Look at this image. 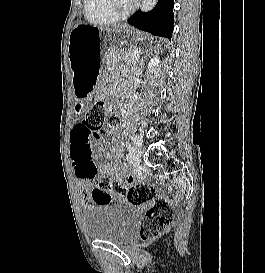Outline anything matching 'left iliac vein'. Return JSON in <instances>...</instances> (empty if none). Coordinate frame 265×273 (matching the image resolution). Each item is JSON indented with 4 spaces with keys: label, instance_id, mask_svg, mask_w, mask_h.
<instances>
[{
    "label": "left iliac vein",
    "instance_id": "obj_1",
    "mask_svg": "<svg viewBox=\"0 0 265 273\" xmlns=\"http://www.w3.org/2000/svg\"><path fill=\"white\" fill-rule=\"evenodd\" d=\"M139 139L140 145L142 144L143 140L139 135H135ZM130 161L133 164H139L141 161V152L138 147L133 146L130 149Z\"/></svg>",
    "mask_w": 265,
    "mask_h": 273
}]
</instances>
